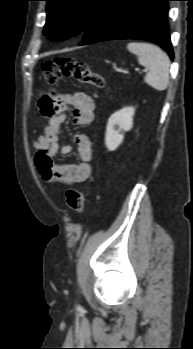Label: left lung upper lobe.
<instances>
[{
  "mask_svg": "<svg viewBox=\"0 0 193 349\" xmlns=\"http://www.w3.org/2000/svg\"><path fill=\"white\" fill-rule=\"evenodd\" d=\"M44 1H47V20L44 34L60 40L84 32L107 0Z\"/></svg>",
  "mask_w": 193,
  "mask_h": 349,
  "instance_id": "5c2ea615",
  "label": "left lung upper lobe"
}]
</instances>
